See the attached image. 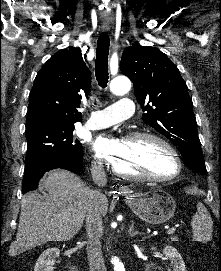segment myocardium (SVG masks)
<instances>
[{
	"instance_id": "myocardium-1",
	"label": "myocardium",
	"mask_w": 221,
	"mask_h": 271,
	"mask_svg": "<svg viewBox=\"0 0 221 271\" xmlns=\"http://www.w3.org/2000/svg\"><path fill=\"white\" fill-rule=\"evenodd\" d=\"M166 140H171L168 137L148 130L143 133H129L128 137L125 138L126 142H133L132 145H136L138 142H154L155 150H167V164L172 168V172L166 175H146V173H123L120 170V166L114 158L108 159L107 167L109 171H113V175L122 176L123 179H134V178H148V183H167V178H177L183 170H181V165H178L176 160L177 150H171V143L166 142Z\"/></svg>"
}]
</instances>
